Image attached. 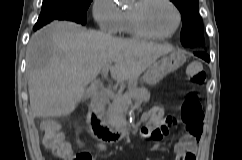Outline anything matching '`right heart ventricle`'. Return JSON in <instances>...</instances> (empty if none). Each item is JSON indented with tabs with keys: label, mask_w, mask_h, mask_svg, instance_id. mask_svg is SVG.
I'll use <instances>...</instances> for the list:
<instances>
[{
	"label": "right heart ventricle",
	"mask_w": 242,
	"mask_h": 160,
	"mask_svg": "<svg viewBox=\"0 0 242 160\" xmlns=\"http://www.w3.org/2000/svg\"><path fill=\"white\" fill-rule=\"evenodd\" d=\"M119 32L122 33V34H125L127 36L134 37V38L140 37L132 29L127 10L122 11L121 24H120Z\"/></svg>",
	"instance_id": "obj_1"
}]
</instances>
